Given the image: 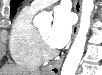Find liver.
Wrapping results in <instances>:
<instances>
[{
	"mask_svg": "<svg viewBox=\"0 0 102 75\" xmlns=\"http://www.w3.org/2000/svg\"><path fill=\"white\" fill-rule=\"evenodd\" d=\"M0 75H42L40 71L26 70L16 65H5L0 69Z\"/></svg>",
	"mask_w": 102,
	"mask_h": 75,
	"instance_id": "6515ba94",
	"label": "liver"
}]
</instances>
